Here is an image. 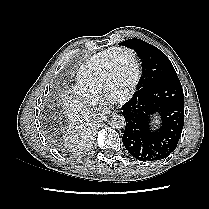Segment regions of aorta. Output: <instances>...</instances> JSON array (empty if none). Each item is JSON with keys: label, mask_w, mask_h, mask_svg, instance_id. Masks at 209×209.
Here are the masks:
<instances>
[{"label": "aorta", "mask_w": 209, "mask_h": 209, "mask_svg": "<svg viewBox=\"0 0 209 209\" xmlns=\"http://www.w3.org/2000/svg\"><path fill=\"white\" fill-rule=\"evenodd\" d=\"M110 126L112 128L121 129L125 126V118L122 115H113L110 119Z\"/></svg>", "instance_id": "aorta-1"}]
</instances>
